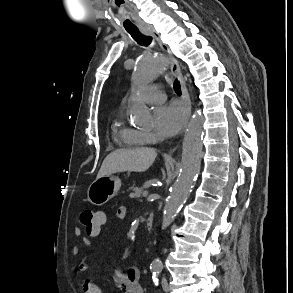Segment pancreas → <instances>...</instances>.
<instances>
[{"label": "pancreas", "instance_id": "pancreas-1", "mask_svg": "<svg viewBox=\"0 0 293 293\" xmlns=\"http://www.w3.org/2000/svg\"><path fill=\"white\" fill-rule=\"evenodd\" d=\"M143 192H144L143 187H134L133 192L130 193L129 197L134 198V199H139V198H141Z\"/></svg>", "mask_w": 293, "mask_h": 293}]
</instances>
